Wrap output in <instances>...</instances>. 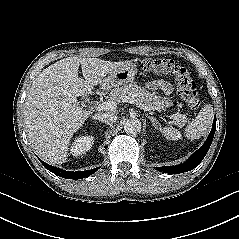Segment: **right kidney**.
I'll use <instances>...</instances> for the list:
<instances>
[{"instance_id": "1", "label": "right kidney", "mask_w": 239, "mask_h": 239, "mask_svg": "<svg viewBox=\"0 0 239 239\" xmlns=\"http://www.w3.org/2000/svg\"><path fill=\"white\" fill-rule=\"evenodd\" d=\"M94 137L90 135L77 137L71 146V153L77 157L89 151L93 145Z\"/></svg>"}]
</instances>
